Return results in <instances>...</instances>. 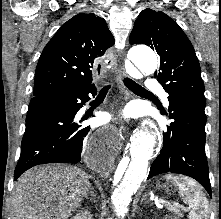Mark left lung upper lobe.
<instances>
[{
  "instance_id": "left-lung-upper-lobe-1",
  "label": "left lung upper lobe",
  "mask_w": 221,
  "mask_h": 219,
  "mask_svg": "<svg viewBox=\"0 0 221 219\" xmlns=\"http://www.w3.org/2000/svg\"><path fill=\"white\" fill-rule=\"evenodd\" d=\"M129 42L146 44L157 52L160 67L155 77L169 94V102L205 109L204 83L195 50L175 21L147 8L138 15Z\"/></svg>"
}]
</instances>
